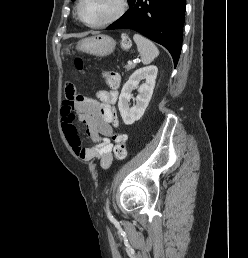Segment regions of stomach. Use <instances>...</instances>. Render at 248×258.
Instances as JSON below:
<instances>
[{"label": "stomach", "instance_id": "obj_1", "mask_svg": "<svg viewBox=\"0 0 248 258\" xmlns=\"http://www.w3.org/2000/svg\"><path fill=\"white\" fill-rule=\"evenodd\" d=\"M116 46V41L107 35H95L82 39L77 44V49L84 53L104 57L110 55ZM68 51V49H66Z\"/></svg>", "mask_w": 248, "mask_h": 258}]
</instances>
